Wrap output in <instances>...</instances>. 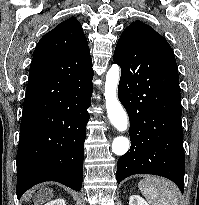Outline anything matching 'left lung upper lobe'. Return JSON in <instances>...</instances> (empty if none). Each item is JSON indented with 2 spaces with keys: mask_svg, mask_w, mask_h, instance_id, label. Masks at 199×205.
Instances as JSON below:
<instances>
[{
  "mask_svg": "<svg viewBox=\"0 0 199 205\" xmlns=\"http://www.w3.org/2000/svg\"><path fill=\"white\" fill-rule=\"evenodd\" d=\"M122 34L131 35L137 41L155 49L178 75L176 60L170 45L165 38L158 34L152 27L145 23L135 21L132 22Z\"/></svg>",
  "mask_w": 199,
  "mask_h": 205,
  "instance_id": "5c2ea615",
  "label": "left lung upper lobe"
}]
</instances>
